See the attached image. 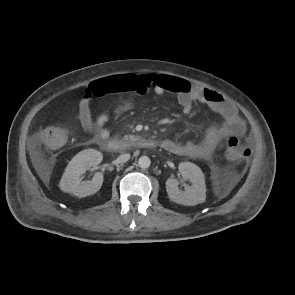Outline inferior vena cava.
Instances as JSON below:
<instances>
[{
	"mask_svg": "<svg viewBox=\"0 0 295 295\" xmlns=\"http://www.w3.org/2000/svg\"><path fill=\"white\" fill-rule=\"evenodd\" d=\"M130 159V154L129 153H125V154H121L117 157V163H125Z\"/></svg>",
	"mask_w": 295,
	"mask_h": 295,
	"instance_id": "obj_1",
	"label": "inferior vena cava"
}]
</instances>
